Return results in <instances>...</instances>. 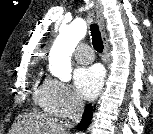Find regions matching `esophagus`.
<instances>
[{
  "instance_id": "34e87169",
  "label": "esophagus",
  "mask_w": 153,
  "mask_h": 134,
  "mask_svg": "<svg viewBox=\"0 0 153 134\" xmlns=\"http://www.w3.org/2000/svg\"><path fill=\"white\" fill-rule=\"evenodd\" d=\"M96 19L97 23L101 32L103 44H104V58L107 61L108 56V43H107V37L105 32V21L103 16V7L101 5L100 0H96Z\"/></svg>"
}]
</instances>
